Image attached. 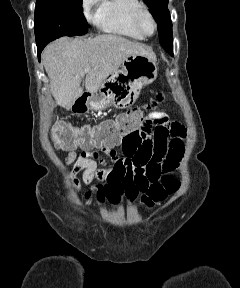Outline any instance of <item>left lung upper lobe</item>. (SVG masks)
Instances as JSON below:
<instances>
[{
    "mask_svg": "<svg viewBox=\"0 0 240 288\" xmlns=\"http://www.w3.org/2000/svg\"><path fill=\"white\" fill-rule=\"evenodd\" d=\"M151 9L158 24L160 44L168 53H173L172 22L169 14L168 0H143Z\"/></svg>",
    "mask_w": 240,
    "mask_h": 288,
    "instance_id": "5c2ea615",
    "label": "left lung upper lobe"
}]
</instances>
